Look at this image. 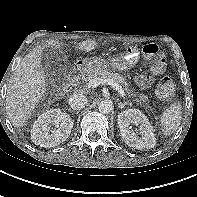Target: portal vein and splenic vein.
<instances>
[{
	"instance_id": "18ae733b",
	"label": "portal vein and splenic vein",
	"mask_w": 197,
	"mask_h": 197,
	"mask_svg": "<svg viewBox=\"0 0 197 197\" xmlns=\"http://www.w3.org/2000/svg\"><path fill=\"white\" fill-rule=\"evenodd\" d=\"M111 85L122 97H125V92L123 88L116 82L109 79L94 78L87 83L88 88H96L100 84Z\"/></svg>"
}]
</instances>
